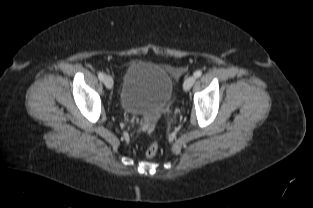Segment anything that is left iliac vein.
Wrapping results in <instances>:
<instances>
[{
	"mask_svg": "<svg viewBox=\"0 0 313 208\" xmlns=\"http://www.w3.org/2000/svg\"><path fill=\"white\" fill-rule=\"evenodd\" d=\"M196 81V77L195 76H189L185 79L184 81V84H183V89L185 91H188L192 86L193 84L195 83Z\"/></svg>",
	"mask_w": 313,
	"mask_h": 208,
	"instance_id": "left-iliac-vein-1",
	"label": "left iliac vein"
}]
</instances>
